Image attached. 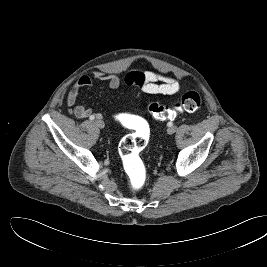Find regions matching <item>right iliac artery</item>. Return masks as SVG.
Returning <instances> with one entry per match:
<instances>
[{"label":"right iliac artery","mask_w":267,"mask_h":267,"mask_svg":"<svg viewBox=\"0 0 267 267\" xmlns=\"http://www.w3.org/2000/svg\"><path fill=\"white\" fill-rule=\"evenodd\" d=\"M89 119L93 121L95 119V117L94 116H90Z\"/></svg>","instance_id":"right-iliac-artery-1"}]
</instances>
